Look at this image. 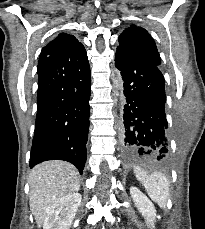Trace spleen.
<instances>
[{"instance_id":"spleen-1","label":"spleen","mask_w":205,"mask_h":229,"mask_svg":"<svg viewBox=\"0 0 205 229\" xmlns=\"http://www.w3.org/2000/svg\"><path fill=\"white\" fill-rule=\"evenodd\" d=\"M134 173L136 178L145 187V190L150 198L161 208L165 209L170 194L169 181L167 177L159 172H154L148 175L138 168L134 170Z\"/></svg>"}]
</instances>
